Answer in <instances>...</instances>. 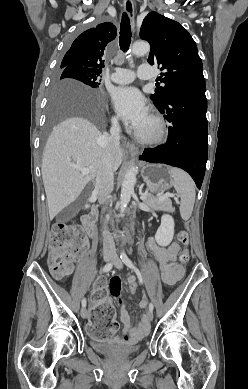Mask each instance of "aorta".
<instances>
[{
	"label": "aorta",
	"mask_w": 248,
	"mask_h": 389,
	"mask_svg": "<svg viewBox=\"0 0 248 389\" xmlns=\"http://www.w3.org/2000/svg\"><path fill=\"white\" fill-rule=\"evenodd\" d=\"M131 51L134 55H143L150 51V46L147 42H136L133 44ZM136 168L130 167L127 171L121 188L120 196V210L123 213L134 193V186L136 183Z\"/></svg>",
	"instance_id": "762f6f07"
}]
</instances>
